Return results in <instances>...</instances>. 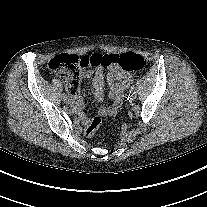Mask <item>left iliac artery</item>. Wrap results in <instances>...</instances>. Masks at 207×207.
Returning a JSON list of instances; mask_svg holds the SVG:
<instances>
[{"mask_svg": "<svg viewBox=\"0 0 207 207\" xmlns=\"http://www.w3.org/2000/svg\"><path fill=\"white\" fill-rule=\"evenodd\" d=\"M129 92L131 94H134L136 92V87L133 85L130 89H129Z\"/></svg>", "mask_w": 207, "mask_h": 207, "instance_id": "1", "label": "left iliac artery"}]
</instances>
